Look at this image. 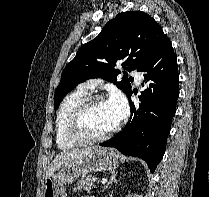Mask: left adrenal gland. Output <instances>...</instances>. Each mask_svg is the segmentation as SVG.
<instances>
[{"label":"left adrenal gland","mask_w":209,"mask_h":197,"mask_svg":"<svg viewBox=\"0 0 209 197\" xmlns=\"http://www.w3.org/2000/svg\"><path fill=\"white\" fill-rule=\"evenodd\" d=\"M116 177H117V173H114V174L111 175V177L109 179V182L103 188V192L110 186V184H112L113 182H116L117 181Z\"/></svg>","instance_id":"1"}]
</instances>
